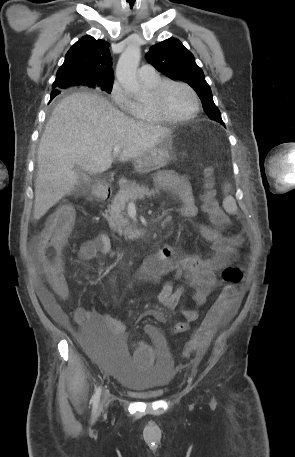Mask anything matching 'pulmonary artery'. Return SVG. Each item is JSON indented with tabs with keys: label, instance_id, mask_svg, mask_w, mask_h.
<instances>
[{
	"label": "pulmonary artery",
	"instance_id": "e3ab8cb5",
	"mask_svg": "<svg viewBox=\"0 0 295 457\" xmlns=\"http://www.w3.org/2000/svg\"><path fill=\"white\" fill-rule=\"evenodd\" d=\"M138 75L142 81H150L159 77L155 68L149 64L142 65L138 70Z\"/></svg>",
	"mask_w": 295,
	"mask_h": 457
}]
</instances>
